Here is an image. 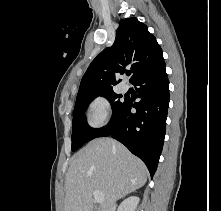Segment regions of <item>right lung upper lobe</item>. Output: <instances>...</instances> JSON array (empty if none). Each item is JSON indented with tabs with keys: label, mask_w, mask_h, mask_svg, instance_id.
Listing matches in <instances>:
<instances>
[{
	"label": "right lung upper lobe",
	"mask_w": 221,
	"mask_h": 211,
	"mask_svg": "<svg viewBox=\"0 0 221 211\" xmlns=\"http://www.w3.org/2000/svg\"><path fill=\"white\" fill-rule=\"evenodd\" d=\"M163 64L162 49L147 26L137 18L121 20L113 46L104 49L86 70L77 98L113 91L116 76L123 74L127 66L133 73L132 83L140 75Z\"/></svg>",
	"instance_id": "cb5924a9"
}]
</instances>
